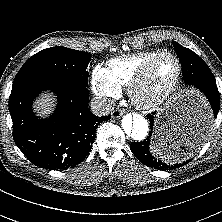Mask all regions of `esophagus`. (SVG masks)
<instances>
[{
  "label": "esophagus",
  "mask_w": 222,
  "mask_h": 222,
  "mask_svg": "<svg viewBox=\"0 0 222 222\" xmlns=\"http://www.w3.org/2000/svg\"><path fill=\"white\" fill-rule=\"evenodd\" d=\"M123 113H124V110L117 108L112 112V117L114 119L119 118Z\"/></svg>",
  "instance_id": "obj_1"
}]
</instances>
